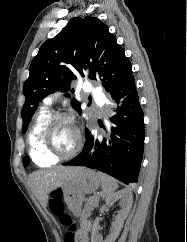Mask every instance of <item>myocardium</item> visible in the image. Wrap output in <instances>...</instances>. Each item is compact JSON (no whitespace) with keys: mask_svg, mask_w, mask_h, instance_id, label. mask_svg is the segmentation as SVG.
Masks as SVG:
<instances>
[{"mask_svg":"<svg viewBox=\"0 0 187 242\" xmlns=\"http://www.w3.org/2000/svg\"><path fill=\"white\" fill-rule=\"evenodd\" d=\"M60 121H66L70 123L74 127L76 132V144L73 149L67 153H58L54 151L50 146V135L54 126ZM82 145V133L75 118L72 115L68 113H56L48 119L41 133V147L47 156L55 158L57 160L69 159L71 157H74L81 150Z\"/></svg>","mask_w":187,"mask_h":242,"instance_id":"1","label":"myocardium"}]
</instances>
